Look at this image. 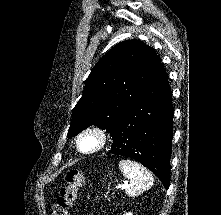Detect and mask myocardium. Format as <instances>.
I'll list each match as a JSON object with an SVG mask.
<instances>
[{
    "label": "myocardium",
    "instance_id": "myocardium-1",
    "mask_svg": "<svg viewBox=\"0 0 221 215\" xmlns=\"http://www.w3.org/2000/svg\"><path fill=\"white\" fill-rule=\"evenodd\" d=\"M86 137H93L96 140V144L90 149L82 148V141ZM108 143L107 132L99 126H88L84 128L76 137V148L83 154H95L102 151Z\"/></svg>",
    "mask_w": 221,
    "mask_h": 215
}]
</instances>
